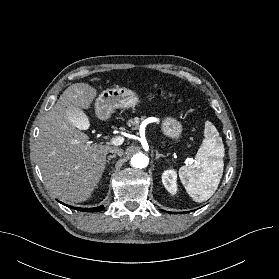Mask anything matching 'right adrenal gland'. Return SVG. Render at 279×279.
Listing matches in <instances>:
<instances>
[{"mask_svg": "<svg viewBox=\"0 0 279 279\" xmlns=\"http://www.w3.org/2000/svg\"><path fill=\"white\" fill-rule=\"evenodd\" d=\"M113 158H116V155H115V154L108 156V158H107V164H110V160L113 159Z\"/></svg>", "mask_w": 279, "mask_h": 279, "instance_id": "2a0ac1e0", "label": "right adrenal gland"}]
</instances>
